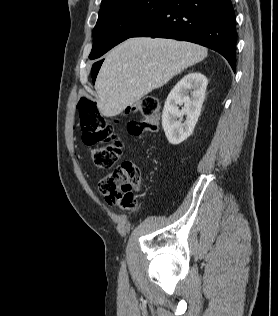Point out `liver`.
<instances>
[{"mask_svg":"<svg viewBox=\"0 0 278 316\" xmlns=\"http://www.w3.org/2000/svg\"><path fill=\"white\" fill-rule=\"evenodd\" d=\"M208 55L205 47L164 38H130L112 49L98 73V108L106 117L120 114L152 90Z\"/></svg>","mask_w":278,"mask_h":316,"instance_id":"6515ba94","label":"liver"}]
</instances>
